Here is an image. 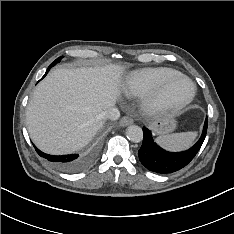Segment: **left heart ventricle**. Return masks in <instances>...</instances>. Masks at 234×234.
Segmentation results:
<instances>
[{
  "mask_svg": "<svg viewBox=\"0 0 234 234\" xmlns=\"http://www.w3.org/2000/svg\"><path fill=\"white\" fill-rule=\"evenodd\" d=\"M190 89L188 82L179 80L169 88L167 94L171 98H183L190 92Z\"/></svg>",
  "mask_w": 234,
  "mask_h": 234,
  "instance_id": "b2bd125f",
  "label": "left heart ventricle"
}]
</instances>
